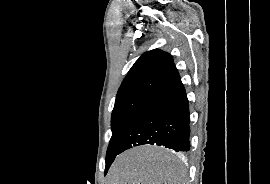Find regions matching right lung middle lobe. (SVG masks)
<instances>
[{
  "mask_svg": "<svg viewBox=\"0 0 270 184\" xmlns=\"http://www.w3.org/2000/svg\"><path fill=\"white\" fill-rule=\"evenodd\" d=\"M148 98L149 96L137 95L115 102L111 116L112 137L107 149L105 173L119 154L125 136Z\"/></svg>",
  "mask_w": 270,
  "mask_h": 184,
  "instance_id": "1",
  "label": "right lung middle lobe"
}]
</instances>
